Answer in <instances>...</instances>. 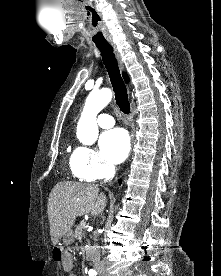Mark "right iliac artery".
Wrapping results in <instances>:
<instances>
[{
  "label": "right iliac artery",
  "mask_w": 221,
  "mask_h": 276,
  "mask_svg": "<svg viewBox=\"0 0 221 276\" xmlns=\"http://www.w3.org/2000/svg\"><path fill=\"white\" fill-rule=\"evenodd\" d=\"M89 275L90 276H96L97 272L95 270H89Z\"/></svg>",
  "instance_id": "right-iliac-artery-1"
}]
</instances>
